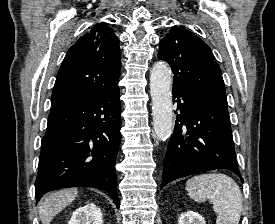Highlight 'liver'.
I'll return each instance as SVG.
<instances>
[{"instance_id":"liver-1","label":"liver","mask_w":275,"mask_h":224,"mask_svg":"<svg viewBox=\"0 0 275 224\" xmlns=\"http://www.w3.org/2000/svg\"><path fill=\"white\" fill-rule=\"evenodd\" d=\"M75 188L59 190L41 199L39 202V217L42 224H50L52 219L70 205L77 197Z\"/></svg>"}]
</instances>
